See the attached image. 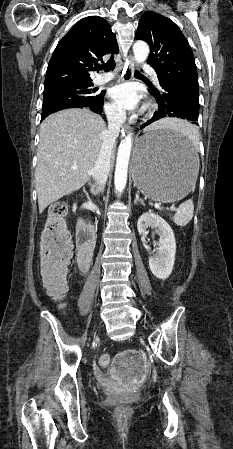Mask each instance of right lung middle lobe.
<instances>
[{"mask_svg": "<svg viewBox=\"0 0 233 449\" xmlns=\"http://www.w3.org/2000/svg\"><path fill=\"white\" fill-rule=\"evenodd\" d=\"M90 84L67 85L44 91L42 114L55 112L75 104L91 106L102 96L94 94Z\"/></svg>", "mask_w": 233, "mask_h": 449, "instance_id": "1", "label": "right lung middle lobe"}]
</instances>
